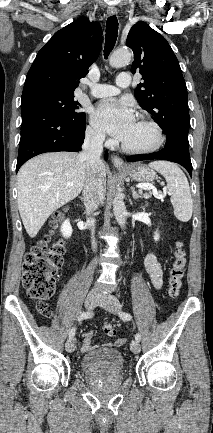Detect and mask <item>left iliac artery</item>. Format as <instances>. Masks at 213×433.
Masks as SVG:
<instances>
[{"label": "left iliac artery", "instance_id": "left-iliac-artery-1", "mask_svg": "<svg viewBox=\"0 0 213 433\" xmlns=\"http://www.w3.org/2000/svg\"><path fill=\"white\" fill-rule=\"evenodd\" d=\"M120 317H121L123 320H131V319H132V316H131L129 313H126V312H121V313H120ZM135 339H136L137 341H140V340H141V335H140L139 333H137V334L135 335Z\"/></svg>", "mask_w": 213, "mask_h": 433}]
</instances>
